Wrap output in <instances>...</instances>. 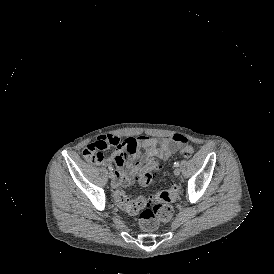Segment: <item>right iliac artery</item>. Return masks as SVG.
<instances>
[{
	"mask_svg": "<svg viewBox=\"0 0 274 274\" xmlns=\"http://www.w3.org/2000/svg\"><path fill=\"white\" fill-rule=\"evenodd\" d=\"M108 169H109L110 171H112V170H113V167H112V166H109Z\"/></svg>",
	"mask_w": 274,
	"mask_h": 274,
	"instance_id": "1",
	"label": "right iliac artery"
}]
</instances>
